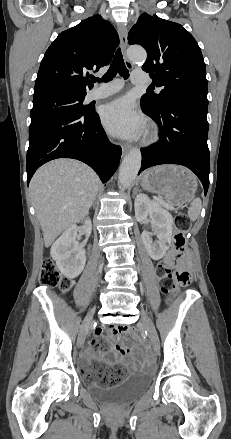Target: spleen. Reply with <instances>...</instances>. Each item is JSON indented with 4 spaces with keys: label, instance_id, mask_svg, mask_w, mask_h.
Listing matches in <instances>:
<instances>
[{
    "label": "spleen",
    "instance_id": "3e777b00",
    "mask_svg": "<svg viewBox=\"0 0 231 439\" xmlns=\"http://www.w3.org/2000/svg\"><path fill=\"white\" fill-rule=\"evenodd\" d=\"M201 211V200L200 198H194L191 202V206L188 210V216L191 220H196Z\"/></svg>",
    "mask_w": 231,
    "mask_h": 439
}]
</instances>
